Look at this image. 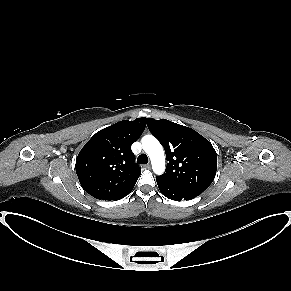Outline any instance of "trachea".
Returning a JSON list of instances; mask_svg holds the SVG:
<instances>
[{"label":"trachea","instance_id":"trachea-1","mask_svg":"<svg viewBox=\"0 0 291 291\" xmlns=\"http://www.w3.org/2000/svg\"><path fill=\"white\" fill-rule=\"evenodd\" d=\"M137 163L138 164H147L148 163V157L145 154H141L138 158H137Z\"/></svg>","mask_w":291,"mask_h":291}]
</instances>
